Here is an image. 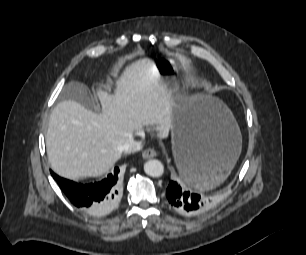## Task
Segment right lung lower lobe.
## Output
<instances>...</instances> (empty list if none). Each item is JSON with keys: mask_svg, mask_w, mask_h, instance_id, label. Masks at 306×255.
Returning a JSON list of instances; mask_svg holds the SVG:
<instances>
[{"mask_svg": "<svg viewBox=\"0 0 306 255\" xmlns=\"http://www.w3.org/2000/svg\"><path fill=\"white\" fill-rule=\"evenodd\" d=\"M118 173L119 168L116 167L114 174H109L106 179L83 185L61 178L51 171L53 178L70 202L93 216L109 213L118 203L120 198Z\"/></svg>", "mask_w": 306, "mask_h": 255, "instance_id": "1", "label": "right lung lower lobe"}]
</instances>
